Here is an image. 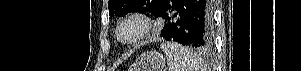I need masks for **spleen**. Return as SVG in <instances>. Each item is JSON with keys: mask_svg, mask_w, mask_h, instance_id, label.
<instances>
[{"mask_svg": "<svg viewBox=\"0 0 301 71\" xmlns=\"http://www.w3.org/2000/svg\"><path fill=\"white\" fill-rule=\"evenodd\" d=\"M164 52L168 71H205L202 59L195 52L174 42L160 45Z\"/></svg>", "mask_w": 301, "mask_h": 71, "instance_id": "3e777b00", "label": "spleen"}]
</instances>
